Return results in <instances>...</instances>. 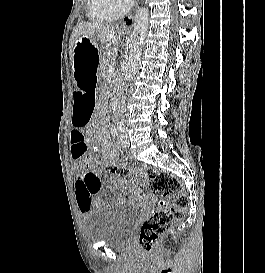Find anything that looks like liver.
<instances>
[{"mask_svg":"<svg viewBox=\"0 0 265 273\" xmlns=\"http://www.w3.org/2000/svg\"><path fill=\"white\" fill-rule=\"evenodd\" d=\"M118 34H121V29L111 24H104L99 22H80L73 29L70 42H69V54L71 64L73 62V52L76 41L86 36L89 37L95 43H101L105 45L107 49L115 46L118 43Z\"/></svg>","mask_w":265,"mask_h":273,"instance_id":"liver-1","label":"liver"}]
</instances>
